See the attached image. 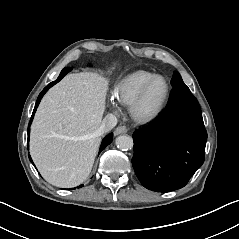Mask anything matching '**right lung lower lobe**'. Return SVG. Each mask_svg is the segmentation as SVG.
Here are the masks:
<instances>
[{
  "mask_svg": "<svg viewBox=\"0 0 239 239\" xmlns=\"http://www.w3.org/2000/svg\"><path fill=\"white\" fill-rule=\"evenodd\" d=\"M71 70H72V67H65V68H63L62 71H61V73H60V75H59V77L57 78V80L51 82V83H50L48 86H46V87L44 88V90L39 94L38 99H37V101H36V105H35L33 114H32V117H31V120H30V123H29V126H30V124H31V122H32L34 113H35V111H36V109H37V107H38V105H39V103H40L41 98L43 97V95L47 92V90H48L50 87H52V86L55 85L57 82H59V81H60L68 72H70ZM29 133H30V127H28V135H29ZM112 140H113V133H110L109 135H107V136L103 139V141H102V143H101V146H100L99 153H100L103 149H105L106 146H108V145L112 142ZM29 158H30V160H31V162H32V159H31L30 156H29ZM32 163H33V162H32ZM80 187H83V185H80L79 188H80ZM73 189H75V188H73Z\"/></svg>",
  "mask_w": 239,
  "mask_h": 239,
  "instance_id": "1",
  "label": "right lung lower lobe"
}]
</instances>
